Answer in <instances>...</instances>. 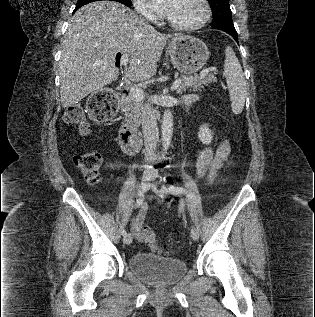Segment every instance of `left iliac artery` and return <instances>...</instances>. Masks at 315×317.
<instances>
[{
	"mask_svg": "<svg viewBox=\"0 0 315 317\" xmlns=\"http://www.w3.org/2000/svg\"><path fill=\"white\" fill-rule=\"evenodd\" d=\"M162 188L166 190L167 192L174 194V195H181V194H187V190L184 189L183 187H178L174 185H163Z\"/></svg>",
	"mask_w": 315,
	"mask_h": 317,
	"instance_id": "left-iliac-artery-1",
	"label": "left iliac artery"
}]
</instances>
